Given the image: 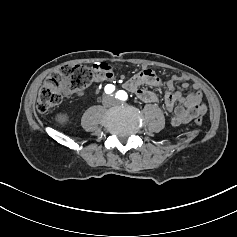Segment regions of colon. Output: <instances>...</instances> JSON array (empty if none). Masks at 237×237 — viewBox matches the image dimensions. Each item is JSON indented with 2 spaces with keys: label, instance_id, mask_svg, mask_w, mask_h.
Returning <instances> with one entry per match:
<instances>
[{
  "label": "colon",
  "instance_id": "obj_1",
  "mask_svg": "<svg viewBox=\"0 0 237 237\" xmlns=\"http://www.w3.org/2000/svg\"><path fill=\"white\" fill-rule=\"evenodd\" d=\"M114 67L105 62H99L92 67L83 65H63L50 73L39 90L36 108L44 113L59 105L63 92H77L89 86L97 76L113 74ZM195 124L201 126L203 119L198 116Z\"/></svg>",
  "mask_w": 237,
  "mask_h": 237
}]
</instances>
